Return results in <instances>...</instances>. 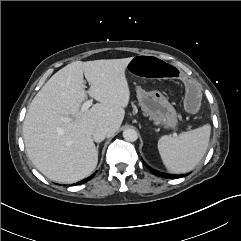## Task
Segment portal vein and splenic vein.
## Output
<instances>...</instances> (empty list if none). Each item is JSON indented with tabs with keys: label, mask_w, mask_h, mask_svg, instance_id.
<instances>
[{
	"label": "portal vein and splenic vein",
	"mask_w": 241,
	"mask_h": 241,
	"mask_svg": "<svg viewBox=\"0 0 241 241\" xmlns=\"http://www.w3.org/2000/svg\"><path fill=\"white\" fill-rule=\"evenodd\" d=\"M92 100H87L83 103L82 107H81V111H87L91 106H92ZM61 120L65 123L70 122L71 118L69 117H61Z\"/></svg>",
	"instance_id": "portal-vein-and-splenic-vein-1"
}]
</instances>
